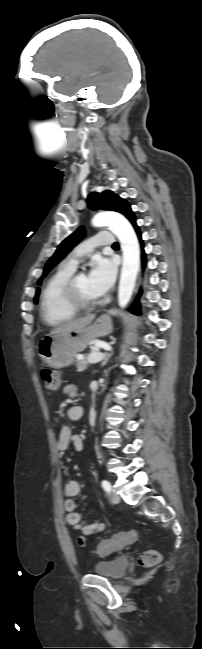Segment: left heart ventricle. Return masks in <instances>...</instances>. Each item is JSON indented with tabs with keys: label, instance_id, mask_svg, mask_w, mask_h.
Segmentation results:
<instances>
[{
	"label": "left heart ventricle",
	"instance_id": "obj_1",
	"mask_svg": "<svg viewBox=\"0 0 202 649\" xmlns=\"http://www.w3.org/2000/svg\"><path fill=\"white\" fill-rule=\"evenodd\" d=\"M77 285H78V290H79L80 294L84 298H87V299L98 298V295L95 294L93 292V290L91 289L86 275H81L78 278Z\"/></svg>",
	"mask_w": 202,
	"mask_h": 649
}]
</instances>
